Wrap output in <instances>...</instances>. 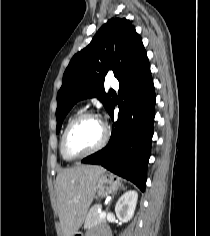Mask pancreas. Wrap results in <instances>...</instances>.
<instances>
[{"label": "pancreas", "instance_id": "obj_1", "mask_svg": "<svg viewBox=\"0 0 210 236\" xmlns=\"http://www.w3.org/2000/svg\"><path fill=\"white\" fill-rule=\"evenodd\" d=\"M102 208L101 204H95L91 207L89 210L85 222H84V228L90 229L100 223H103L106 221L105 217L100 218V213L98 212V209Z\"/></svg>", "mask_w": 210, "mask_h": 236}]
</instances>
